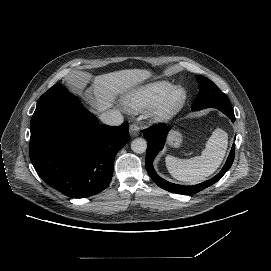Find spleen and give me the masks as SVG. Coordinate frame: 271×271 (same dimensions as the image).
<instances>
[{"instance_id":"1","label":"spleen","mask_w":271,"mask_h":271,"mask_svg":"<svg viewBox=\"0 0 271 271\" xmlns=\"http://www.w3.org/2000/svg\"><path fill=\"white\" fill-rule=\"evenodd\" d=\"M227 147V134L216 128L207 140L201 156L182 159L167 155L166 164L169 172L179 181L195 183L204 180L220 165Z\"/></svg>"}]
</instances>
